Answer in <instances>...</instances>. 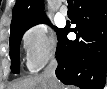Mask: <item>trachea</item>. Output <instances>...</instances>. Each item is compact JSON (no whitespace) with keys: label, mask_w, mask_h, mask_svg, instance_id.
I'll list each match as a JSON object with an SVG mask.
<instances>
[{"label":"trachea","mask_w":107,"mask_h":89,"mask_svg":"<svg viewBox=\"0 0 107 89\" xmlns=\"http://www.w3.org/2000/svg\"><path fill=\"white\" fill-rule=\"evenodd\" d=\"M69 5H72V0H67Z\"/></svg>","instance_id":"3493384b"}]
</instances>
